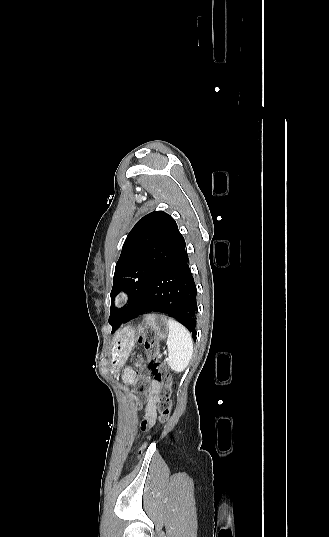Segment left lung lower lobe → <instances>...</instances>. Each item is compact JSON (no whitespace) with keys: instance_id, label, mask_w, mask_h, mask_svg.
<instances>
[{"instance_id":"left-lung-lower-lobe-1","label":"left lung lower lobe","mask_w":329,"mask_h":537,"mask_svg":"<svg viewBox=\"0 0 329 537\" xmlns=\"http://www.w3.org/2000/svg\"><path fill=\"white\" fill-rule=\"evenodd\" d=\"M185 247L186 244L156 273L123 322L149 312L166 313L186 326L196 338L197 288Z\"/></svg>"}]
</instances>
